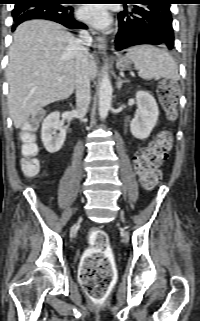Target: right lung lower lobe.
<instances>
[{
    "mask_svg": "<svg viewBox=\"0 0 200 321\" xmlns=\"http://www.w3.org/2000/svg\"><path fill=\"white\" fill-rule=\"evenodd\" d=\"M58 0H31L23 4L15 5L12 16V30L24 21L31 19H45L57 22L67 28L87 29L86 25L78 22L73 15L71 7L60 5Z\"/></svg>",
    "mask_w": 200,
    "mask_h": 321,
    "instance_id": "obj_1",
    "label": "right lung lower lobe"
}]
</instances>
